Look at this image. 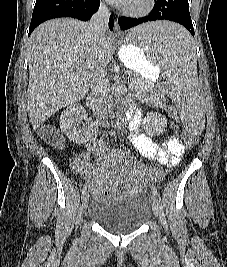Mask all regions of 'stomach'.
<instances>
[{"instance_id": "1", "label": "stomach", "mask_w": 227, "mask_h": 267, "mask_svg": "<svg viewBox=\"0 0 227 267\" xmlns=\"http://www.w3.org/2000/svg\"><path fill=\"white\" fill-rule=\"evenodd\" d=\"M121 60L128 69L147 81H153L157 77L158 67L161 64L153 63V59H147L142 47H130L129 43L123 45Z\"/></svg>"}]
</instances>
